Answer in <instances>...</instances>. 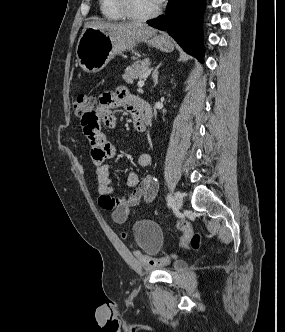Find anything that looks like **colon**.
<instances>
[{"instance_id":"5ec220e1","label":"colon","mask_w":285,"mask_h":332,"mask_svg":"<svg viewBox=\"0 0 285 332\" xmlns=\"http://www.w3.org/2000/svg\"><path fill=\"white\" fill-rule=\"evenodd\" d=\"M97 105V98L92 95L82 94L79 95L74 101V109L76 116L83 115V111H88L89 107ZM178 228L183 232L181 238V249L183 251L190 249H197L200 244V236L198 234H193L191 226L186 221H181L178 223ZM123 237H126V234L123 233ZM141 261L150 266L163 265L170 260L177 257L176 254H171L163 258H151L145 254H139Z\"/></svg>"}]
</instances>
